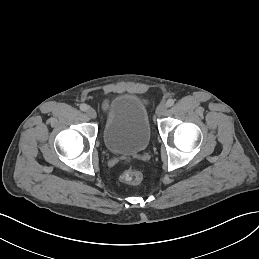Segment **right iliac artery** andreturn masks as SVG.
I'll return each mask as SVG.
<instances>
[{"label": "right iliac artery", "instance_id": "82829eb1", "mask_svg": "<svg viewBox=\"0 0 259 259\" xmlns=\"http://www.w3.org/2000/svg\"><path fill=\"white\" fill-rule=\"evenodd\" d=\"M87 108H88V106L86 104H81L80 105V110H82V111H86Z\"/></svg>", "mask_w": 259, "mask_h": 259}]
</instances>
